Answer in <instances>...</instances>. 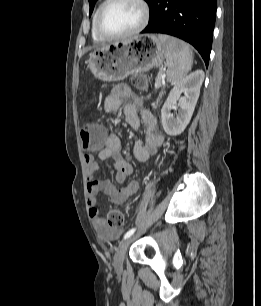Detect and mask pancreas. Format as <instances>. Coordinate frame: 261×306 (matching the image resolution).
Returning <instances> with one entry per match:
<instances>
[{"label":"pancreas","mask_w":261,"mask_h":306,"mask_svg":"<svg viewBox=\"0 0 261 306\" xmlns=\"http://www.w3.org/2000/svg\"><path fill=\"white\" fill-rule=\"evenodd\" d=\"M157 83H158V85H157V87H156V88H159V87L161 86V81H160V80H158V81H157Z\"/></svg>","instance_id":"cf45deb5"}]
</instances>
